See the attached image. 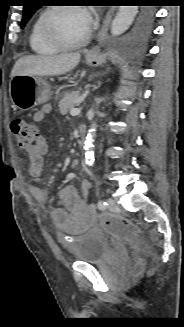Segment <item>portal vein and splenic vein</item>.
Returning a JSON list of instances; mask_svg holds the SVG:
<instances>
[{"mask_svg": "<svg viewBox=\"0 0 184 327\" xmlns=\"http://www.w3.org/2000/svg\"><path fill=\"white\" fill-rule=\"evenodd\" d=\"M80 112H81V109L80 108H73V109H71L70 114L72 116H76V115H79Z\"/></svg>", "mask_w": 184, "mask_h": 327, "instance_id": "obj_1", "label": "portal vein and splenic vein"}]
</instances>
